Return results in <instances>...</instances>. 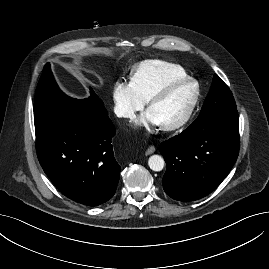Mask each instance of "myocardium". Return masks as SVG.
<instances>
[{"label": "myocardium", "instance_id": "1", "mask_svg": "<svg viewBox=\"0 0 269 269\" xmlns=\"http://www.w3.org/2000/svg\"><path fill=\"white\" fill-rule=\"evenodd\" d=\"M184 86L194 87V93L190 101V104L188 105L183 116L178 121L167 125H161V128L165 131H175L181 129L190 121L200 99V86L198 82L192 78H186L171 82L166 86L162 87L161 89H159L158 91H156L147 101V108L149 110V108L152 105L167 97L172 91Z\"/></svg>", "mask_w": 269, "mask_h": 269}]
</instances>
